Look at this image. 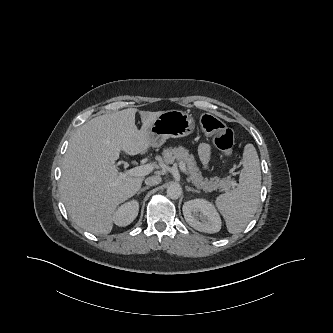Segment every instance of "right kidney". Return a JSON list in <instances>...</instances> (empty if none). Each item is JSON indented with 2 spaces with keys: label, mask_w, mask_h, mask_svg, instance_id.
Returning <instances> with one entry per match:
<instances>
[{
  "label": "right kidney",
  "mask_w": 333,
  "mask_h": 333,
  "mask_svg": "<svg viewBox=\"0 0 333 333\" xmlns=\"http://www.w3.org/2000/svg\"><path fill=\"white\" fill-rule=\"evenodd\" d=\"M139 211V203L135 200L121 205L114 213V223L117 226H127L134 221Z\"/></svg>",
  "instance_id": "1"
}]
</instances>
